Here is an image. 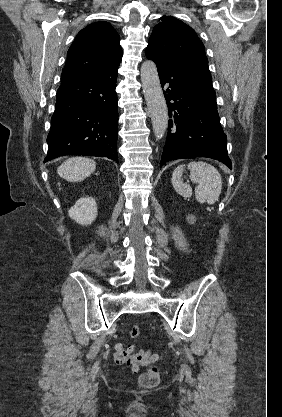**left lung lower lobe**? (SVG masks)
<instances>
[{"mask_svg":"<svg viewBox=\"0 0 282 417\" xmlns=\"http://www.w3.org/2000/svg\"><path fill=\"white\" fill-rule=\"evenodd\" d=\"M146 57L157 65L171 118L160 167L171 160L208 157L231 169L208 62L171 59L149 47Z\"/></svg>","mask_w":282,"mask_h":417,"instance_id":"0a47b994","label":"left lung lower lobe"}]
</instances>
